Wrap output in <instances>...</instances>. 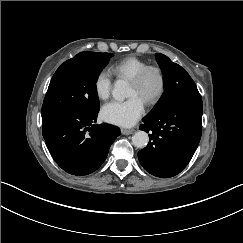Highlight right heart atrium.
I'll list each match as a JSON object with an SVG mask.
<instances>
[{"label":"right heart atrium","instance_id":"obj_1","mask_svg":"<svg viewBox=\"0 0 243 243\" xmlns=\"http://www.w3.org/2000/svg\"><path fill=\"white\" fill-rule=\"evenodd\" d=\"M113 74L107 67L101 68L94 76L93 90L98 100L107 99L112 92Z\"/></svg>","mask_w":243,"mask_h":243}]
</instances>
